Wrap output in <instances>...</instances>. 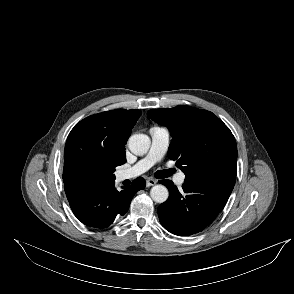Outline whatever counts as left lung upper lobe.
Listing matches in <instances>:
<instances>
[{
	"label": "left lung upper lobe",
	"mask_w": 294,
	"mask_h": 294,
	"mask_svg": "<svg viewBox=\"0 0 294 294\" xmlns=\"http://www.w3.org/2000/svg\"><path fill=\"white\" fill-rule=\"evenodd\" d=\"M148 115L170 130L173 140L168 156L177 160L185 181L219 177L235 183L236 141L216 115L190 106L149 110Z\"/></svg>",
	"instance_id": "left-lung-upper-lobe-1"
}]
</instances>
